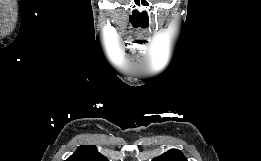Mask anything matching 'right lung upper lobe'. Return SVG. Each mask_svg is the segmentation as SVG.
Masks as SVG:
<instances>
[{"instance_id": "right-lung-upper-lobe-1", "label": "right lung upper lobe", "mask_w": 261, "mask_h": 161, "mask_svg": "<svg viewBox=\"0 0 261 161\" xmlns=\"http://www.w3.org/2000/svg\"><path fill=\"white\" fill-rule=\"evenodd\" d=\"M66 161H107V159L97 151L95 146L83 145Z\"/></svg>"}]
</instances>
